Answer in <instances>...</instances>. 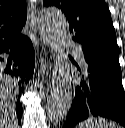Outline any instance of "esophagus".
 <instances>
[{
  "label": "esophagus",
  "mask_w": 125,
  "mask_h": 128,
  "mask_svg": "<svg viewBox=\"0 0 125 128\" xmlns=\"http://www.w3.org/2000/svg\"><path fill=\"white\" fill-rule=\"evenodd\" d=\"M28 22L31 30L36 32L35 6L32 2L29 4V7H28ZM39 42L41 45H45L44 40L39 39ZM51 68H52L51 57L48 59L40 56V74L42 75V77L47 76Z\"/></svg>",
  "instance_id": "34e87169"
}]
</instances>
